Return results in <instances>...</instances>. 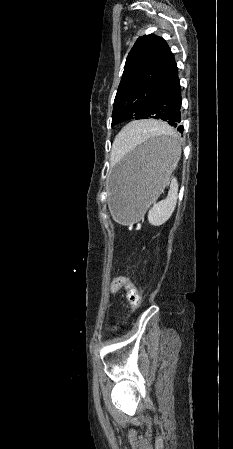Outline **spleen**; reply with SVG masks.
Here are the masks:
<instances>
[{"label": "spleen", "instance_id": "1", "mask_svg": "<svg viewBox=\"0 0 233 449\" xmlns=\"http://www.w3.org/2000/svg\"><path fill=\"white\" fill-rule=\"evenodd\" d=\"M131 126L130 134H119V143L116 148V154L121 156L132 150L137 144L141 142H153L154 138H160L162 133H169L172 136V131L168 125H133ZM178 142V151H181V146ZM178 195V184L174 178L171 181L170 190L166 199L154 204L148 212V221L153 226H160L164 224L175 210ZM124 224V223H123Z\"/></svg>", "mask_w": 233, "mask_h": 449}]
</instances>
